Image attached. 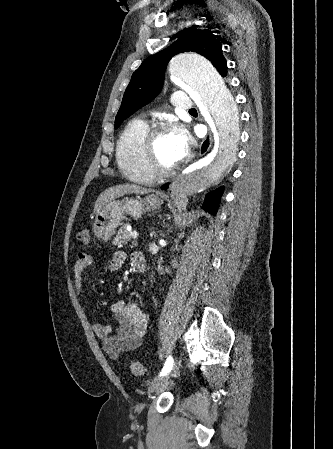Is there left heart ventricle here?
<instances>
[{"label":"left heart ventricle","mask_w":333,"mask_h":449,"mask_svg":"<svg viewBox=\"0 0 333 449\" xmlns=\"http://www.w3.org/2000/svg\"><path fill=\"white\" fill-rule=\"evenodd\" d=\"M155 151L158 161L165 167H172L180 161L173 147L169 132L161 134L156 139Z\"/></svg>","instance_id":"1"}]
</instances>
